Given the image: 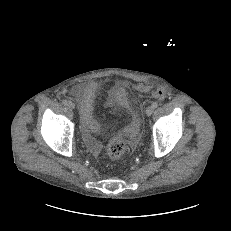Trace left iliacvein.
I'll return each mask as SVG.
<instances>
[{
	"label": "left iliac vein",
	"instance_id": "1",
	"mask_svg": "<svg viewBox=\"0 0 231 231\" xmlns=\"http://www.w3.org/2000/svg\"><path fill=\"white\" fill-rule=\"evenodd\" d=\"M153 111H154V108H153L152 106H148V107L146 108L145 113H146L147 116H151L152 113H153Z\"/></svg>",
	"mask_w": 231,
	"mask_h": 231
}]
</instances>
